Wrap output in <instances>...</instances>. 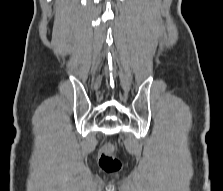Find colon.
Wrapping results in <instances>:
<instances>
[{
  "instance_id": "5ec220e1",
  "label": "colon",
  "mask_w": 223,
  "mask_h": 191,
  "mask_svg": "<svg viewBox=\"0 0 223 191\" xmlns=\"http://www.w3.org/2000/svg\"><path fill=\"white\" fill-rule=\"evenodd\" d=\"M113 148V145L107 146L99 159L100 168L106 173L118 172L122 167L121 162L111 155Z\"/></svg>"
}]
</instances>
